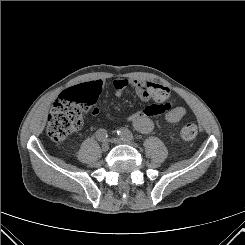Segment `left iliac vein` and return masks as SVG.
Segmentation results:
<instances>
[{
  "label": "left iliac vein",
  "instance_id": "4c4485c4",
  "mask_svg": "<svg viewBox=\"0 0 245 245\" xmlns=\"http://www.w3.org/2000/svg\"><path fill=\"white\" fill-rule=\"evenodd\" d=\"M110 141L114 144H128L131 146H137V144L134 143L132 140H124L121 138H111Z\"/></svg>",
  "mask_w": 245,
  "mask_h": 245
}]
</instances>
